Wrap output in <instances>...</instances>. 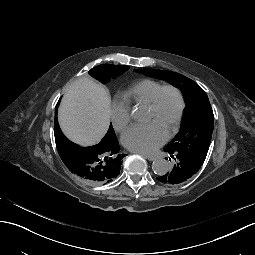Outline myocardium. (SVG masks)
<instances>
[{
    "mask_svg": "<svg viewBox=\"0 0 255 255\" xmlns=\"http://www.w3.org/2000/svg\"><path fill=\"white\" fill-rule=\"evenodd\" d=\"M165 90L174 91L177 96V99H178V109H177V114L175 117L174 127H173L172 131L166 136V139L169 140V139L173 138L178 133L180 124H181V120H182V116H183V111L185 108V101H184V97H183L181 90L173 84H163L154 92V94L152 95L147 106H148V108L155 110L157 108L160 95Z\"/></svg>",
    "mask_w": 255,
    "mask_h": 255,
    "instance_id": "obj_1",
    "label": "myocardium"
}]
</instances>
